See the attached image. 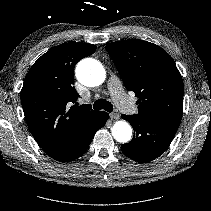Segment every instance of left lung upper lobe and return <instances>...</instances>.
<instances>
[{"mask_svg":"<svg viewBox=\"0 0 211 211\" xmlns=\"http://www.w3.org/2000/svg\"><path fill=\"white\" fill-rule=\"evenodd\" d=\"M106 49L126 89L138 97L136 117L181 122L183 80L164 49L142 40L112 42Z\"/></svg>","mask_w":211,"mask_h":211,"instance_id":"1","label":"left lung upper lobe"}]
</instances>
